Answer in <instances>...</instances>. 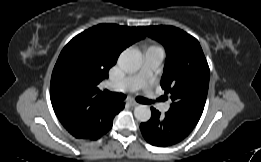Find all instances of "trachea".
<instances>
[{"instance_id":"trachea-1","label":"trachea","mask_w":261,"mask_h":162,"mask_svg":"<svg viewBox=\"0 0 261 162\" xmlns=\"http://www.w3.org/2000/svg\"><path fill=\"white\" fill-rule=\"evenodd\" d=\"M104 93L107 96H109L110 98H112L113 100H116V101H122V100L125 99V95L122 94V93H113V92H110L108 90H105ZM136 101L139 102V103H144V104L152 103V101L145 99V98H141V97H137Z\"/></svg>"}]
</instances>
